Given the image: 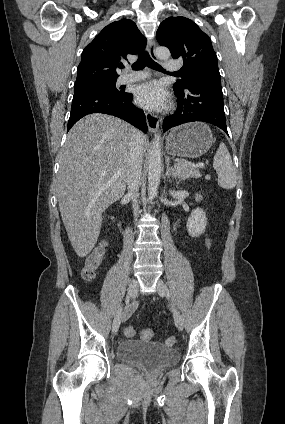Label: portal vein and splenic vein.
Returning a JSON list of instances; mask_svg holds the SVG:
<instances>
[{
    "label": "portal vein and splenic vein",
    "instance_id": "obj_1",
    "mask_svg": "<svg viewBox=\"0 0 285 424\" xmlns=\"http://www.w3.org/2000/svg\"><path fill=\"white\" fill-rule=\"evenodd\" d=\"M194 167H198V168H203L204 164L203 163H197L195 165H193Z\"/></svg>",
    "mask_w": 285,
    "mask_h": 424
}]
</instances>
